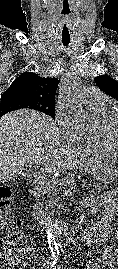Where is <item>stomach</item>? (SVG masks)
I'll return each instance as SVG.
<instances>
[{"label": "stomach", "mask_w": 118, "mask_h": 269, "mask_svg": "<svg viewBox=\"0 0 118 269\" xmlns=\"http://www.w3.org/2000/svg\"><path fill=\"white\" fill-rule=\"evenodd\" d=\"M96 180L104 184L114 182L118 176L117 168L111 163H100L92 167Z\"/></svg>", "instance_id": "obj_1"}]
</instances>
